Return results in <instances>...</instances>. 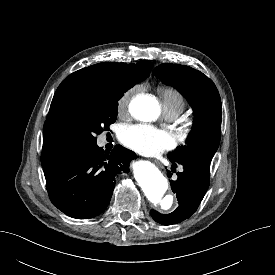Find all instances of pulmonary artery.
<instances>
[{"instance_id":"1","label":"pulmonary artery","mask_w":275,"mask_h":275,"mask_svg":"<svg viewBox=\"0 0 275 275\" xmlns=\"http://www.w3.org/2000/svg\"><path fill=\"white\" fill-rule=\"evenodd\" d=\"M164 114H165V117L168 119V120H174L178 117L179 113L176 112V111H164Z\"/></svg>"}]
</instances>
